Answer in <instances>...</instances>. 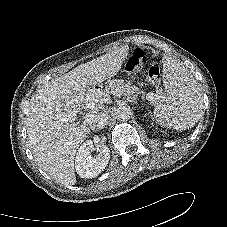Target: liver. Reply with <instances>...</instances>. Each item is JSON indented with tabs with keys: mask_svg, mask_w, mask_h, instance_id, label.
Segmentation results:
<instances>
[{
	"mask_svg": "<svg viewBox=\"0 0 227 227\" xmlns=\"http://www.w3.org/2000/svg\"><path fill=\"white\" fill-rule=\"evenodd\" d=\"M122 46L81 64L61 77L52 79L31 97L26 121L29 146L42 170L57 182L76 184L74 158L90 133L88 126L77 127V113L95 105L87 100L90 87L115 76L128 56Z\"/></svg>",
	"mask_w": 227,
	"mask_h": 227,
	"instance_id": "6515ba94",
	"label": "liver"
}]
</instances>
